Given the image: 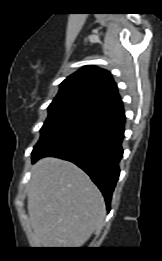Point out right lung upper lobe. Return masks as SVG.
<instances>
[{
    "label": "right lung upper lobe",
    "instance_id": "cb5924a9",
    "mask_svg": "<svg viewBox=\"0 0 162 261\" xmlns=\"http://www.w3.org/2000/svg\"><path fill=\"white\" fill-rule=\"evenodd\" d=\"M81 93L102 103L103 106L120 99L112 75L105 69L85 66L67 77L58 94Z\"/></svg>",
    "mask_w": 162,
    "mask_h": 261
}]
</instances>
